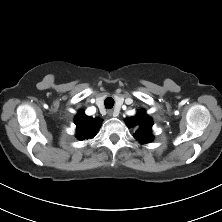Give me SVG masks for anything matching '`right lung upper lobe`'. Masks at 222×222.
<instances>
[{
    "instance_id": "cb5924a9",
    "label": "right lung upper lobe",
    "mask_w": 222,
    "mask_h": 222,
    "mask_svg": "<svg viewBox=\"0 0 222 222\" xmlns=\"http://www.w3.org/2000/svg\"><path fill=\"white\" fill-rule=\"evenodd\" d=\"M102 120L100 118H92L84 114V111L80 110L75 117V124L77 126V138L79 140H84L88 138H93Z\"/></svg>"
}]
</instances>
